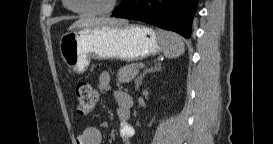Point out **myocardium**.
Listing matches in <instances>:
<instances>
[{"label":"myocardium","mask_w":273,"mask_h":144,"mask_svg":"<svg viewBox=\"0 0 273 144\" xmlns=\"http://www.w3.org/2000/svg\"><path fill=\"white\" fill-rule=\"evenodd\" d=\"M68 3H69V8L79 14V15H102V14H108V13H111L113 12L117 5H118V2L119 0H111L108 5L104 8H101V9H98V10H79V9H76L73 5V0H67Z\"/></svg>","instance_id":"obj_1"}]
</instances>
